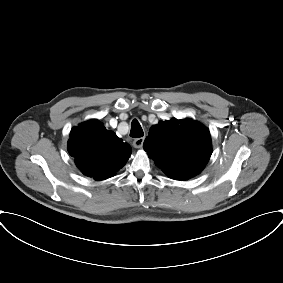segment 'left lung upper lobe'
<instances>
[{
    "instance_id": "5c2ea615",
    "label": "left lung upper lobe",
    "mask_w": 283,
    "mask_h": 283,
    "mask_svg": "<svg viewBox=\"0 0 283 283\" xmlns=\"http://www.w3.org/2000/svg\"><path fill=\"white\" fill-rule=\"evenodd\" d=\"M143 148L175 180H186L200 173L212 153L208 129L191 119L160 121L150 128Z\"/></svg>"
}]
</instances>
